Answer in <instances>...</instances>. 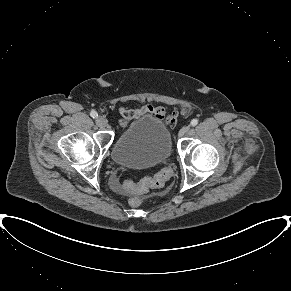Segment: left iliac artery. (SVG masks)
Returning <instances> with one entry per match:
<instances>
[{
	"mask_svg": "<svg viewBox=\"0 0 291 291\" xmlns=\"http://www.w3.org/2000/svg\"><path fill=\"white\" fill-rule=\"evenodd\" d=\"M198 124V120L197 119H193L190 123L191 126H196Z\"/></svg>",
	"mask_w": 291,
	"mask_h": 291,
	"instance_id": "1",
	"label": "left iliac artery"
}]
</instances>
